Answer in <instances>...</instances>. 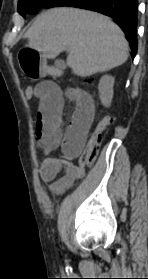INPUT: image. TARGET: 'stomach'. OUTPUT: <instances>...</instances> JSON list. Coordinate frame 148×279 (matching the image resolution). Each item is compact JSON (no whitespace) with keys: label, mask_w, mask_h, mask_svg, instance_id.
I'll list each match as a JSON object with an SVG mask.
<instances>
[{"label":"stomach","mask_w":148,"mask_h":279,"mask_svg":"<svg viewBox=\"0 0 148 279\" xmlns=\"http://www.w3.org/2000/svg\"><path fill=\"white\" fill-rule=\"evenodd\" d=\"M17 63L21 75L28 78V82H47V78L54 75V70L43 50H18Z\"/></svg>","instance_id":"stomach-1"}]
</instances>
